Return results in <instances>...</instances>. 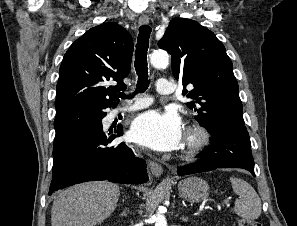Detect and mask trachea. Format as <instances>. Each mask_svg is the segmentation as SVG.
I'll return each mask as SVG.
<instances>
[{
  "label": "trachea",
  "instance_id": "obj_1",
  "mask_svg": "<svg viewBox=\"0 0 297 226\" xmlns=\"http://www.w3.org/2000/svg\"><path fill=\"white\" fill-rule=\"evenodd\" d=\"M151 34V28L148 25H142L139 28V35L137 38L136 50H135V70L138 75L137 89L134 92L143 93L149 86L148 80V65H147V51L149 47V38ZM119 97L122 99H129L130 96L125 95L123 92L119 93Z\"/></svg>",
  "mask_w": 297,
  "mask_h": 226
}]
</instances>
